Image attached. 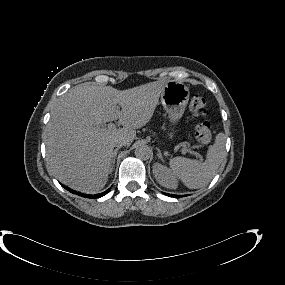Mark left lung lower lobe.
<instances>
[{
	"instance_id": "1",
	"label": "left lung lower lobe",
	"mask_w": 285,
	"mask_h": 285,
	"mask_svg": "<svg viewBox=\"0 0 285 285\" xmlns=\"http://www.w3.org/2000/svg\"><path fill=\"white\" fill-rule=\"evenodd\" d=\"M168 196H171V197H175V195H171V194H166ZM177 197H180V196H177Z\"/></svg>"
}]
</instances>
